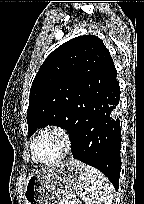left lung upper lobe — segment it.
Returning <instances> with one entry per match:
<instances>
[{
	"label": "left lung upper lobe",
	"mask_w": 144,
	"mask_h": 204,
	"mask_svg": "<svg viewBox=\"0 0 144 204\" xmlns=\"http://www.w3.org/2000/svg\"><path fill=\"white\" fill-rule=\"evenodd\" d=\"M111 60L103 41L93 35L73 38L54 50L32 83L28 135L47 125L66 129L70 137L76 133L96 69Z\"/></svg>",
	"instance_id": "left-lung-upper-lobe-1"
}]
</instances>
